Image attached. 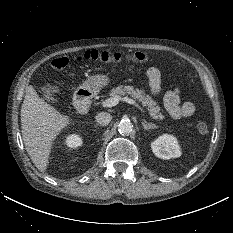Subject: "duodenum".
Wrapping results in <instances>:
<instances>
[{
  "instance_id": "410a0bca",
  "label": "duodenum",
  "mask_w": 233,
  "mask_h": 233,
  "mask_svg": "<svg viewBox=\"0 0 233 233\" xmlns=\"http://www.w3.org/2000/svg\"><path fill=\"white\" fill-rule=\"evenodd\" d=\"M93 95L89 90H80L74 99L76 108L79 111H87L92 105Z\"/></svg>"
}]
</instances>
